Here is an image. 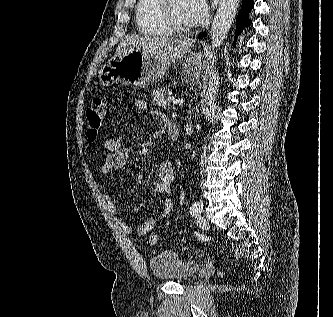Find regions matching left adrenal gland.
<instances>
[{
    "label": "left adrenal gland",
    "mask_w": 333,
    "mask_h": 317,
    "mask_svg": "<svg viewBox=\"0 0 333 317\" xmlns=\"http://www.w3.org/2000/svg\"><path fill=\"white\" fill-rule=\"evenodd\" d=\"M192 114H193V109L189 111L188 119L191 118Z\"/></svg>",
    "instance_id": "1"
}]
</instances>
